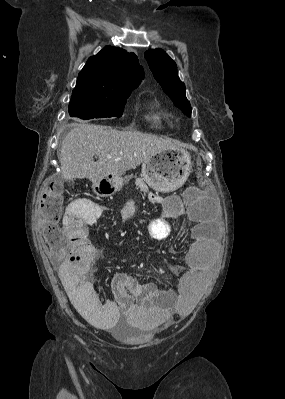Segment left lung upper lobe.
I'll use <instances>...</instances> for the list:
<instances>
[{"label":"left lung upper lobe","instance_id":"5c2ea615","mask_svg":"<svg viewBox=\"0 0 285 399\" xmlns=\"http://www.w3.org/2000/svg\"><path fill=\"white\" fill-rule=\"evenodd\" d=\"M144 56L164 92L190 117L191 105L185 96V85L178 77L176 63L162 49H149Z\"/></svg>","mask_w":285,"mask_h":399}]
</instances>
